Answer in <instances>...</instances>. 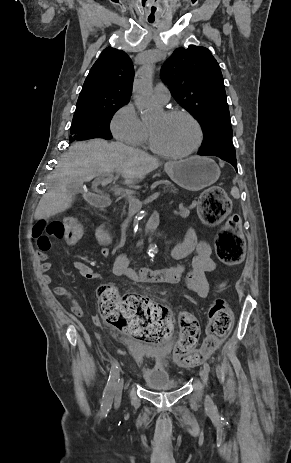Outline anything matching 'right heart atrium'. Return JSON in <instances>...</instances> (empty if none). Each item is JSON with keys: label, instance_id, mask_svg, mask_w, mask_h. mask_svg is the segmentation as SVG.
<instances>
[{"label": "right heart atrium", "instance_id": "d8ad5b80", "mask_svg": "<svg viewBox=\"0 0 291 463\" xmlns=\"http://www.w3.org/2000/svg\"><path fill=\"white\" fill-rule=\"evenodd\" d=\"M110 129L118 141L131 146H141L148 136L146 126L131 102L124 104L114 113Z\"/></svg>", "mask_w": 291, "mask_h": 463}]
</instances>
